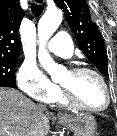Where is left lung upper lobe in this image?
<instances>
[{
  "mask_svg": "<svg viewBox=\"0 0 117 136\" xmlns=\"http://www.w3.org/2000/svg\"><path fill=\"white\" fill-rule=\"evenodd\" d=\"M63 9L77 43L88 60L108 75L107 51L97 25L91 20L89 7L85 0H54Z\"/></svg>",
  "mask_w": 117,
  "mask_h": 136,
  "instance_id": "obj_1",
  "label": "left lung upper lobe"
}]
</instances>
